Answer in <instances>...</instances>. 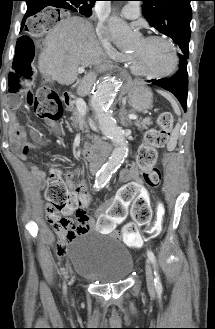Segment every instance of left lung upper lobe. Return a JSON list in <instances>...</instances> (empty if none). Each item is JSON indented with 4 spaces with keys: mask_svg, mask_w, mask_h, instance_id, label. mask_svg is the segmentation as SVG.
<instances>
[{
    "mask_svg": "<svg viewBox=\"0 0 215 329\" xmlns=\"http://www.w3.org/2000/svg\"><path fill=\"white\" fill-rule=\"evenodd\" d=\"M142 11L149 24L172 38L182 52L180 59L188 58L192 0H141Z\"/></svg>",
    "mask_w": 215,
    "mask_h": 329,
    "instance_id": "5c2ea615",
    "label": "left lung upper lobe"
}]
</instances>
